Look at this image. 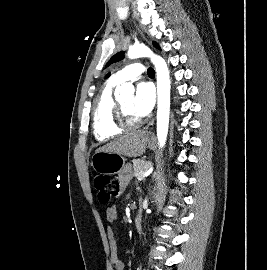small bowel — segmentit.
I'll return each instance as SVG.
<instances>
[{
	"instance_id": "small-bowel-1",
	"label": "small bowel",
	"mask_w": 267,
	"mask_h": 270,
	"mask_svg": "<svg viewBox=\"0 0 267 270\" xmlns=\"http://www.w3.org/2000/svg\"><path fill=\"white\" fill-rule=\"evenodd\" d=\"M132 177V172L129 167L124 168L119 174V182L121 184V188L124 189L128 183L130 182ZM106 219L109 223H113L116 221L118 217L117 208L115 206L108 207L105 211ZM107 237L109 240L110 247V264L113 270H124V263L118 257V248L117 241L115 237V232L112 228H108Z\"/></svg>"
}]
</instances>
